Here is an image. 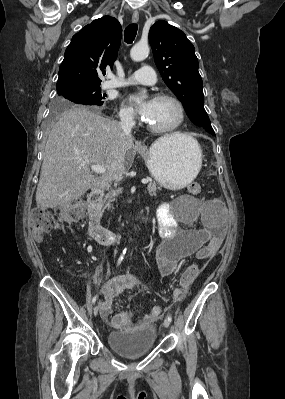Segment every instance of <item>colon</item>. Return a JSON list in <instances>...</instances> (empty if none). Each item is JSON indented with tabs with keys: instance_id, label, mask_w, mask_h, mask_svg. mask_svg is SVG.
<instances>
[{
	"instance_id": "5ec220e1",
	"label": "colon",
	"mask_w": 285,
	"mask_h": 399,
	"mask_svg": "<svg viewBox=\"0 0 285 399\" xmlns=\"http://www.w3.org/2000/svg\"><path fill=\"white\" fill-rule=\"evenodd\" d=\"M188 192L191 196H197L201 192V185L199 183L190 184ZM85 207L86 205L83 200L75 199L65 204L60 209H33L29 217V226L33 237L41 239L60 222L80 220L85 211ZM219 247V240L215 239L210 241L201 249V259L203 261H208L215 255ZM203 268V265H191L181 279L179 291L182 293L186 292L190 284L199 275ZM160 311L161 308L159 306H152L148 309L147 315L151 318H155L159 315Z\"/></svg>"
}]
</instances>
